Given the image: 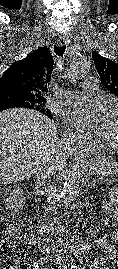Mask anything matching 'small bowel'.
Returning a JSON list of instances; mask_svg holds the SVG:
<instances>
[{"label":"small bowel","instance_id":"obj_1","mask_svg":"<svg viewBox=\"0 0 118 269\" xmlns=\"http://www.w3.org/2000/svg\"><path fill=\"white\" fill-rule=\"evenodd\" d=\"M112 209L114 216L117 217L118 220V191L112 195ZM112 239L114 241H118V230L112 233ZM96 245L99 249H102L107 253L108 259L112 261L115 260L118 264V257L116 255V252L113 250L112 246L107 241L99 239L97 240Z\"/></svg>","mask_w":118,"mask_h":269}]
</instances>
